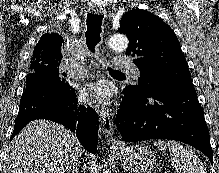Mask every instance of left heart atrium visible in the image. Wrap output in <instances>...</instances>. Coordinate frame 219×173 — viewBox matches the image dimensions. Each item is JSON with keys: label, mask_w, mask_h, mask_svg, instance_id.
Here are the masks:
<instances>
[{"label": "left heart atrium", "mask_w": 219, "mask_h": 173, "mask_svg": "<svg viewBox=\"0 0 219 173\" xmlns=\"http://www.w3.org/2000/svg\"><path fill=\"white\" fill-rule=\"evenodd\" d=\"M110 95V90L104 82L85 85L80 91V96L84 101L94 103H105Z\"/></svg>", "instance_id": "obj_1"}]
</instances>
